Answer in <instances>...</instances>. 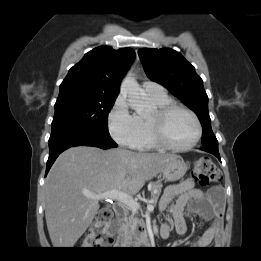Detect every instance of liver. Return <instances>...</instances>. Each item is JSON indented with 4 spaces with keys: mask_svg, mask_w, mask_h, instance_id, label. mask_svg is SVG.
Instances as JSON below:
<instances>
[{
    "mask_svg": "<svg viewBox=\"0 0 261 261\" xmlns=\"http://www.w3.org/2000/svg\"><path fill=\"white\" fill-rule=\"evenodd\" d=\"M176 155L76 146L64 151L44 185L45 218L55 248H72L92 224L98 200L87 194L117 189L137 194Z\"/></svg>",
    "mask_w": 261,
    "mask_h": 261,
    "instance_id": "liver-1",
    "label": "liver"
}]
</instances>
